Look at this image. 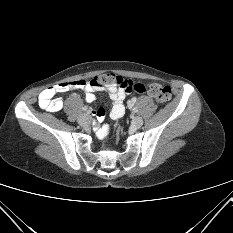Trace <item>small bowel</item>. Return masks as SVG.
Masks as SVG:
<instances>
[{
  "instance_id": "c3829d8e",
  "label": "small bowel",
  "mask_w": 233,
  "mask_h": 233,
  "mask_svg": "<svg viewBox=\"0 0 233 233\" xmlns=\"http://www.w3.org/2000/svg\"><path fill=\"white\" fill-rule=\"evenodd\" d=\"M102 80L101 78L99 79ZM97 80L87 79L71 81L60 83L49 88L44 89L38 96V104L42 109H45L50 112L58 111L62 108L63 99L62 97L56 96L59 93H63L69 90H80L84 92L85 100L88 103H91L95 100V92L105 90L106 93L109 94L110 99L113 102L112 108L110 110V117L112 119L121 118L125 113V105L124 101L126 98L127 92L123 89L117 87H109L105 88L103 83H98ZM136 102V97H131L128 104V112H133V105ZM91 116L94 119H97L99 122L104 121L106 113L103 108H99L98 110H94L91 113ZM94 120L91 123V126L94 128V132L99 138H104L109 133V126L104 125L102 128L100 127V123Z\"/></svg>"
}]
</instances>
